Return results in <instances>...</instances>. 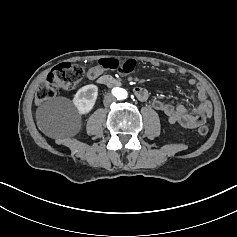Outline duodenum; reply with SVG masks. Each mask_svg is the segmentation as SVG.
Masks as SVG:
<instances>
[{"label": "duodenum", "mask_w": 237, "mask_h": 237, "mask_svg": "<svg viewBox=\"0 0 237 237\" xmlns=\"http://www.w3.org/2000/svg\"><path fill=\"white\" fill-rule=\"evenodd\" d=\"M98 83L106 87H118L121 85V82L118 79L107 75L99 77Z\"/></svg>", "instance_id": "1"}]
</instances>
